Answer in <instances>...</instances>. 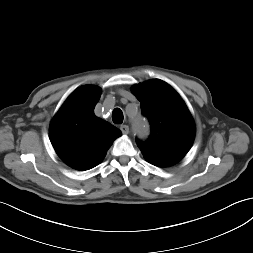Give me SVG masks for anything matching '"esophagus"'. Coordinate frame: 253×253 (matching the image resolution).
Wrapping results in <instances>:
<instances>
[{
    "instance_id": "1",
    "label": "esophagus",
    "mask_w": 253,
    "mask_h": 253,
    "mask_svg": "<svg viewBox=\"0 0 253 253\" xmlns=\"http://www.w3.org/2000/svg\"><path fill=\"white\" fill-rule=\"evenodd\" d=\"M120 130L122 131V133L124 135H126V134L129 133V127H128V125H121Z\"/></svg>"
}]
</instances>
